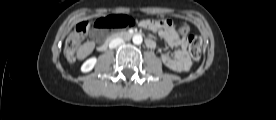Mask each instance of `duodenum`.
Listing matches in <instances>:
<instances>
[{"mask_svg": "<svg viewBox=\"0 0 276 120\" xmlns=\"http://www.w3.org/2000/svg\"><path fill=\"white\" fill-rule=\"evenodd\" d=\"M137 35L138 33L136 32H128V31H121V32L115 33L110 38H108L104 43L100 44L99 49L100 50L106 49L109 46V44L114 40H117V39L127 40ZM149 42L150 41L148 39L145 40V43L147 45L149 44Z\"/></svg>", "mask_w": 276, "mask_h": 120, "instance_id": "1", "label": "duodenum"}]
</instances>
